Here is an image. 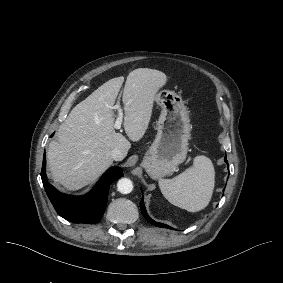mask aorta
Listing matches in <instances>:
<instances>
[{
    "label": "aorta",
    "mask_w": 283,
    "mask_h": 283,
    "mask_svg": "<svg viewBox=\"0 0 283 283\" xmlns=\"http://www.w3.org/2000/svg\"><path fill=\"white\" fill-rule=\"evenodd\" d=\"M118 191L122 194H129L133 190V183L128 178H122L117 183Z\"/></svg>",
    "instance_id": "1"
}]
</instances>
